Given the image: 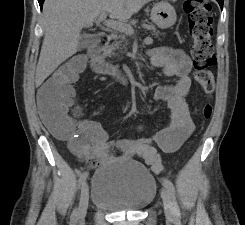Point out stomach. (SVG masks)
Listing matches in <instances>:
<instances>
[{
	"label": "stomach",
	"mask_w": 245,
	"mask_h": 225,
	"mask_svg": "<svg viewBox=\"0 0 245 225\" xmlns=\"http://www.w3.org/2000/svg\"><path fill=\"white\" fill-rule=\"evenodd\" d=\"M151 20L160 29H167L175 24L176 11L168 2L156 3L151 10Z\"/></svg>",
	"instance_id": "stomach-1"
}]
</instances>
